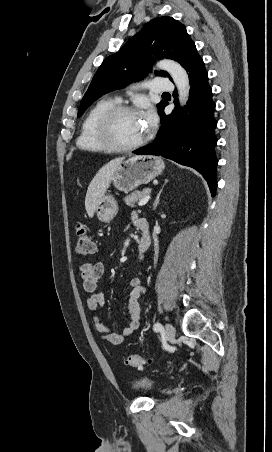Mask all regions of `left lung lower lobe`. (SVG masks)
<instances>
[{"label":"left lung lower lobe","mask_w":272,"mask_h":452,"mask_svg":"<svg viewBox=\"0 0 272 452\" xmlns=\"http://www.w3.org/2000/svg\"><path fill=\"white\" fill-rule=\"evenodd\" d=\"M182 66L189 73L191 85L187 105L179 108L178 99L175 98L177 109L170 115H165V102L159 112L162 126L156 140L134 153L161 155L196 169L206 179L212 196H215L218 162L215 155V104L208 84V73L195 45L188 52Z\"/></svg>","instance_id":"1"}]
</instances>
